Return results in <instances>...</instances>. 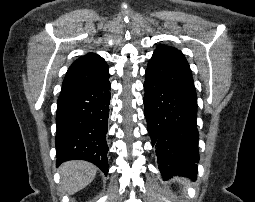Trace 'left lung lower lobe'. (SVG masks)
Wrapping results in <instances>:
<instances>
[{"label":"left lung lower lobe","instance_id":"obj_1","mask_svg":"<svg viewBox=\"0 0 255 202\" xmlns=\"http://www.w3.org/2000/svg\"><path fill=\"white\" fill-rule=\"evenodd\" d=\"M147 129L164 179L197 175L198 130L196 92L168 85L145 73Z\"/></svg>","mask_w":255,"mask_h":202}]
</instances>
